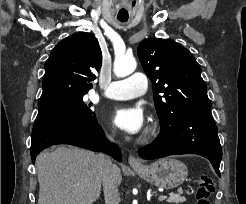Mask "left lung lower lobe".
<instances>
[{
  "mask_svg": "<svg viewBox=\"0 0 246 204\" xmlns=\"http://www.w3.org/2000/svg\"><path fill=\"white\" fill-rule=\"evenodd\" d=\"M217 132L211 112L180 115L161 126L156 140L138 153L147 160L176 154L201 155L212 163L220 176L222 150Z\"/></svg>",
  "mask_w": 246,
  "mask_h": 204,
  "instance_id": "left-lung-lower-lobe-1",
  "label": "left lung lower lobe"
}]
</instances>
